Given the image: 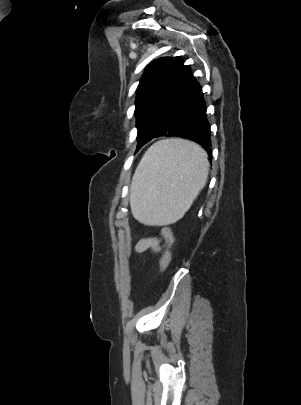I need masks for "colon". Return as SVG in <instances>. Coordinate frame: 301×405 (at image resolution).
I'll return each instance as SVG.
<instances>
[{"mask_svg":"<svg viewBox=\"0 0 301 405\" xmlns=\"http://www.w3.org/2000/svg\"><path fill=\"white\" fill-rule=\"evenodd\" d=\"M161 234L166 241V248L160 260V272L164 273L168 268L172 258V246L174 243V235L169 227H163Z\"/></svg>","mask_w":301,"mask_h":405,"instance_id":"5ec220e1","label":"colon"}]
</instances>
